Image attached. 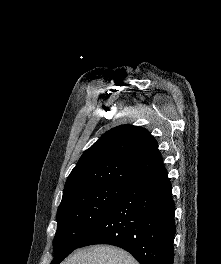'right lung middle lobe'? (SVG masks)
Masks as SVG:
<instances>
[{
	"instance_id": "1",
	"label": "right lung middle lobe",
	"mask_w": 221,
	"mask_h": 264,
	"mask_svg": "<svg viewBox=\"0 0 221 264\" xmlns=\"http://www.w3.org/2000/svg\"><path fill=\"white\" fill-rule=\"evenodd\" d=\"M126 184H101L62 199L57 210L54 259L59 264L101 223L122 194Z\"/></svg>"
}]
</instances>
